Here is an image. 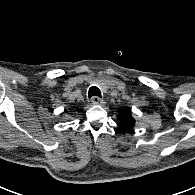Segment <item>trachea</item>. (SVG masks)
Here are the masks:
<instances>
[{
    "mask_svg": "<svg viewBox=\"0 0 195 195\" xmlns=\"http://www.w3.org/2000/svg\"><path fill=\"white\" fill-rule=\"evenodd\" d=\"M88 94H89V98H91L92 96L101 97L100 89L98 87H96V86L90 87V89L88 91Z\"/></svg>",
    "mask_w": 195,
    "mask_h": 195,
    "instance_id": "trachea-1",
    "label": "trachea"
}]
</instances>
